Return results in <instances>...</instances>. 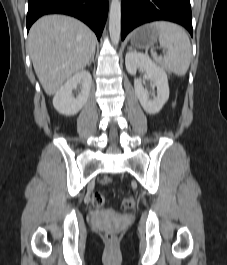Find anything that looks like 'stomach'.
<instances>
[{
  "instance_id": "stomach-1",
  "label": "stomach",
  "mask_w": 227,
  "mask_h": 265,
  "mask_svg": "<svg viewBox=\"0 0 227 265\" xmlns=\"http://www.w3.org/2000/svg\"><path fill=\"white\" fill-rule=\"evenodd\" d=\"M158 39V32L152 28L143 27L136 30L131 37V44L136 48L153 47Z\"/></svg>"
}]
</instances>
